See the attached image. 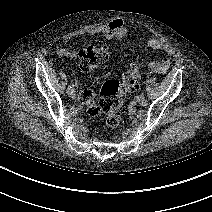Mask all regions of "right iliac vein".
Masks as SVG:
<instances>
[{
    "label": "right iliac vein",
    "instance_id": "1",
    "mask_svg": "<svg viewBox=\"0 0 212 212\" xmlns=\"http://www.w3.org/2000/svg\"><path fill=\"white\" fill-rule=\"evenodd\" d=\"M76 93H75V91H72L71 93H70V97L72 98V99H75L76 98Z\"/></svg>",
    "mask_w": 212,
    "mask_h": 212
}]
</instances>
